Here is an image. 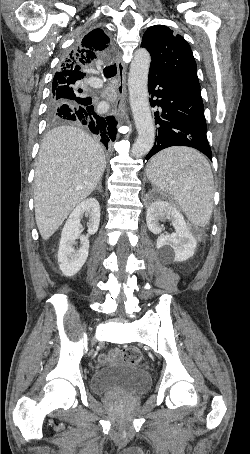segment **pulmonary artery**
I'll return each mask as SVG.
<instances>
[{
  "label": "pulmonary artery",
  "instance_id": "1",
  "mask_svg": "<svg viewBox=\"0 0 250 454\" xmlns=\"http://www.w3.org/2000/svg\"><path fill=\"white\" fill-rule=\"evenodd\" d=\"M87 82L93 87H101L103 85V81L98 77H90Z\"/></svg>",
  "mask_w": 250,
  "mask_h": 454
}]
</instances>
